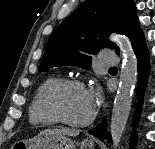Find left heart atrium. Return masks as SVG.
<instances>
[{"instance_id":"1","label":"left heart atrium","mask_w":155,"mask_h":149,"mask_svg":"<svg viewBox=\"0 0 155 149\" xmlns=\"http://www.w3.org/2000/svg\"><path fill=\"white\" fill-rule=\"evenodd\" d=\"M88 98L93 110H95L101 102L102 96L98 88L87 91Z\"/></svg>"}]
</instances>
